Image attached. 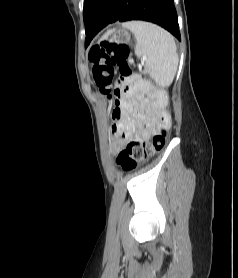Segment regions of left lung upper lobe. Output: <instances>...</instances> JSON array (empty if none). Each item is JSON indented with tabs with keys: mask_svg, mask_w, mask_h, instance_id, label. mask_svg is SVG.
Returning <instances> with one entry per match:
<instances>
[{
	"mask_svg": "<svg viewBox=\"0 0 238 278\" xmlns=\"http://www.w3.org/2000/svg\"><path fill=\"white\" fill-rule=\"evenodd\" d=\"M103 2V0H85L84 1V9H83V19L85 23V30L87 31L91 21L93 19L94 14L96 13L99 5Z\"/></svg>",
	"mask_w": 238,
	"mask_h": 278,
	"instance_id": "obj_1",
	"label": "left lung upper lobe"
}]
</instances>
